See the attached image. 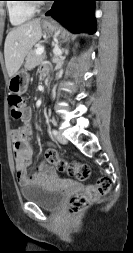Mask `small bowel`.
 Here are the masks:
<instances>
[{
  "mask_svg": "<svg viewBox=\"0 0 133 253\" xmlns=\"http://www.w3.org/2000/svg\"><path fill=\"white\" fill-rule=\"evenodd\" d=\"M46 71H43L45 74ZM31 110L26 108L23 118L24 125L12 130V147L14 152L15 170L17 180L21 186L44 182L56 175L53 167L41 163L37 171L29 174L28 169L32 165V127L30 124Z\"/></svg>",
  "mask_w": 133,
  "mask_h": 253,
  "instance_id": "obj_1",
  "label": "small bowel"
}]
</instances>
